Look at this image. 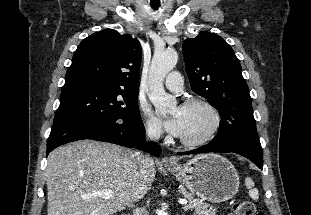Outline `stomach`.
<instances>
[{
  "mask_svg": "<svg viewBox=\"0 0 311 215\" xmlns=\"http://www.w3.org/2000/svg\"><path fill=\"white\" fill-rule=\"evenodd\" d=\"M167 169L190 192L212 203L232 199L239 188V176L232 163L218 154L199 155L189 162Z\"/></svg>",
  "mask_w": 311,
  "mask_h": 215,
  "instance_id": "0dacf381",
  "label": "stomach"
}]
</instances>
